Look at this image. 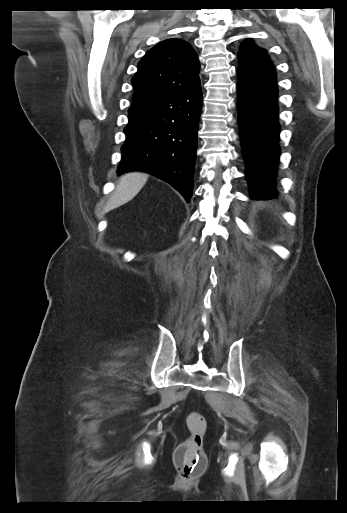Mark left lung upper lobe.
<instances>
[{
    "instance_id": "5c2ea615",
    "label": "left lung upper lobe",
    "mask_w": 347,
    "mask_h": 513,
    "mask_svg": "<svg viewBox=\"0 0 347 513\" xmlns=\"http://www.w3.org/2000/svg\"><path fill=\"white\" fill-rule=\"evenodd\" d=\"M238 58H249L252 60L271 63L265 49L258 48L251 39H246L241 45Z\"/></svg>"
}]
</instances>
